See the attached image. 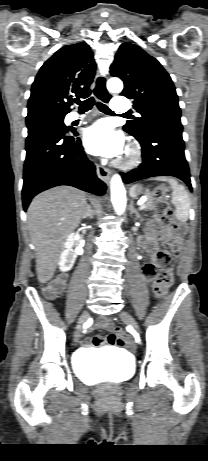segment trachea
<instances>
[{"label":"trachea","mask_w":208,"mask_h":461,"mask_svg":"<svg viewBox=\"0 0 208 461\" xmlns=\"http://www.w3.org/2000/svg\"><path fill=\"white\" fill-rule=\"evenodd\" d=\"M95 95L97 98L103 100L104 102H108L110 99V95L107 93L106 88H105V80L102 77H99L97 79V86L95 88ZM76 103L79 105V111L80 112H86L92 108V106L95 103V100L93 97L86 99L84 101L76 100ZM97 107L99 108L100 111L106 114H115L113 111H111L105 104L97 102ZM130 113H125L122 114V116H130Z\"/></svg>","instance_id":"1"}]
</instances>
